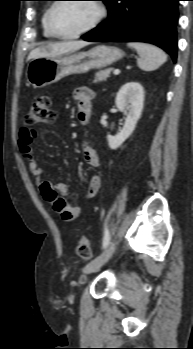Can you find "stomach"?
Wrapping results in <instances>:
<instances>
[{
  "instance_id": "stomach-1",
  "label": "stomach",
  "mask_w": 193,
  "mask_h": 349,
  "mask_svg": "<svg viewBox=\"0 0 193 349\" xmlns=\"http://www.w3.org/2000/svg\"><path fill=\"white\" fill-rule=\"evenodd\" d=\"M125 53L113 46L98 45L86 52L60 57L33 59L27 67V80L35 88L50 85L71 74L102 69L123 58Z\"/></svg>"
}]
</instances>
